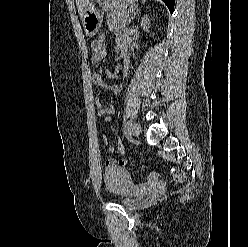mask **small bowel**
<instances>
[{"mask_svg":"<svg viewBox=\"0 0 248 247\" xmlns=\"http://www.w3.org/2000/svg\"><path fill=\"white\" fill-rule=\"evenodd\" d=\"M117 49L121 52L127 51L128 52V45L126 40L120 36L117 40ZM105 56V37L103 35H100L97 39L92 41L91 43V56L90 61L92 64L99 63L103 57ZM127 65L125 70L127 71ZM92 82L96 87L109 89L113 91L115 94H119L122 89V84H108L99 73H94L92 76ZM95 106L98 109L97 115L100 118H103L105 122H108L111 120L112 115L115 113L114 106L108 105L105 106L102 102V99L100 97L95 98ZM103 141L105 145L108 148L109 152H114L115 148L113 145L110 144L107 137L103 135ZM128 163V159H115L113 157H109L105 161V165L107 169L118 167V166H124Z\"/></svg>","mask_w":248,"mask_h":247,"instance_id":"obj_1","label":"small bowel"}]
</instances>
